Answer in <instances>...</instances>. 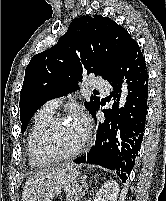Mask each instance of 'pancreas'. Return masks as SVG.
<instances>
[{
    "instance_id": "cf45deb5",
    "label": "pancreas",
    "mask_w": 166,
    "mask_h": 201,
    "mask_svg": "<svg viewBox=\"0 0 166 201\" xmlns=\"http://www.w3.org/2000/svg\"><path fill=\"white\" fill-rule=\"evenodd\" d=\"M78 199V191L75 188H72L68 191L67 200L68 201H77Z\"/></svg>"
}]
</instances>
